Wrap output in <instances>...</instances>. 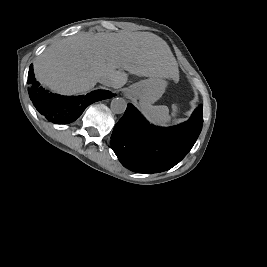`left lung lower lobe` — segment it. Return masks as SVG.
Instances as JSON below:
<instances>
[{
    "label": "left lung lower lobe",
    "instance_id": "left-lung-lower-lobe-1",
    "mask_svg": "<svg viewBox=\"0 0 267 267\" xmlns=\"http://www.w3.org/2000/svg\"><path fill=\"white\" fill-rule=\"evenodd\" d=\"M202 105L179 126L150 125L131 104L117 122L111 146L120 162L139 173H157L179 163L193 147L203 123Z\"/></svg>",
    "mask_w": 267,
    "mask_h": 267
}]
</instances>
